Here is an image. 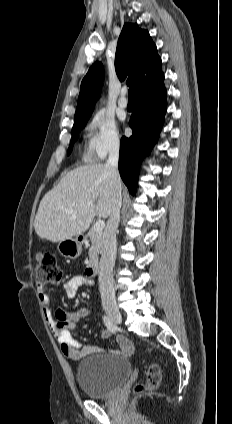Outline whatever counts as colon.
Masks as SVG:
<instances>
[{
  "mask_svg": "<svg viewBox=\"0 0 232 424\" xmlns=\"http://www.w3.org/2000/svg\"><path fill=\"white\" fill-rule=\"evenodd\" d=\"M64 278L62 269L58 266L54 254L40 253L37 255L36 280L43 283H58ZM161 382V371L157 364L148 365L145 382L137 383L133 393L138 395L145 391L154 390Z\"/></svg>",
  "mask_w": 232,
  "mask_h": 424,
  "instance_id": "5ec220e1",
  "label": "colon"
}]
</instances>
